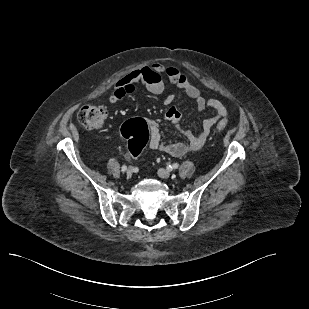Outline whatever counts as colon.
I'll return each mask as SVG.
<instances>
[{"mask_svg": "<svg viewBox=\"0 0 309 309\" xmlns=\"http://www.w3.org/2000/svg\"><path fill=\"white\" fill-rule=\"evenodd\" d=\"M106 118V109L98 105L83 106L78 112L79 122L84 128L90 131L101 129ZM216 127L218 130H224L227 127V121L220 120ZM121 133L127 140L129 154L133 158L140 155L150 138L148 125L141 118H135L125 122L121 128Z\"/></svg>", "mask_w": 309, "mask_h": 309, "instance_id": "obj_1", "label": "colon"}]
</instances>
